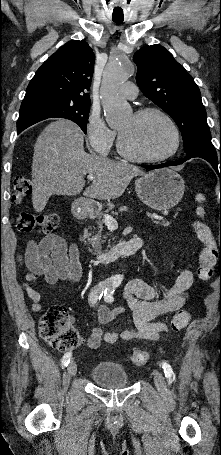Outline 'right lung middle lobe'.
Instances as JSON below:
<instances>
[{
	"mask_svg": "<svg viewBox=\"0 0 221 455\" xmlns=\"http://www.w3.org/2000/svg\"><path fill=\"white\" fill-rule=\"evenodd\" d=\"M90 103L73 101L39 102L21 105L17 132L47 118H66L86 133Z\"/></svg>",
	"mask_w": 221,
	"mask_h": 455,
	"instance_id": "right-lung-middle-lobe-1",
	"label": "right lung middle lobe"
}]
</instances>
